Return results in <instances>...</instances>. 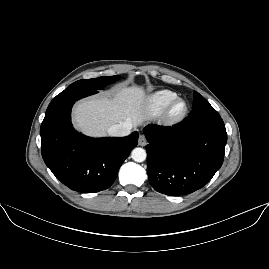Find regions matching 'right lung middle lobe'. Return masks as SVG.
Segmentation results:
<instances>
[{
    "instance_id": "dd1d6c3e",
    "label": "right lung middle lobe",
    "mask_w": 269,
    "mask_h": 269,
    "mask_svg": "<svg viewBox=\"0 0 269 269\" xmlns=\"http://www.w3.org/2000/svg\"><path fill=\"white\" fill-rule=\"evenodd\" d=\"M119 79L118 75L115 76H102L94 79H82L72 83L69 89L86 90H98L102 89L106 85L113 83Z\"/></svg>"
}]
</instances>
